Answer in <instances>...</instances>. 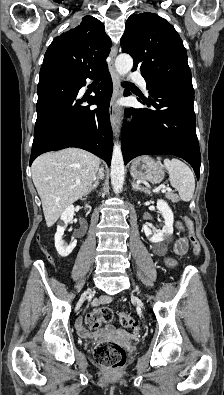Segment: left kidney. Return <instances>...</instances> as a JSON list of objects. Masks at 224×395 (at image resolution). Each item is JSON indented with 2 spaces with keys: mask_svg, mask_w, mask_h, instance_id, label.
I'll return each mask as SVG.
<instances>
[{
  "mask_svg": "<svg viewBox=\"0 0 224 395\" xmlns=\"http://www.w3.org/2000/svg\"><path fill=\"white\" fill-rule=\"evenodd\" d=\"M157 209L164 218V226L161 230L152 232L148 224L143 226L145 235L149 238L152 243L162 242L167 236L173 232L174 215L167 202L164 200L157 201Z\"/></svg>",
  "mask_w": 224,
  "mask_h": 395,
  "instance_id": "1",
  "label": "left kidney"
}]
</instances>
